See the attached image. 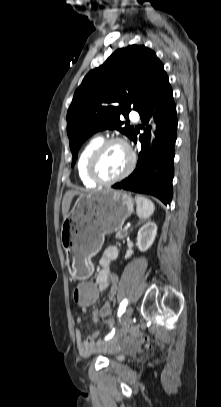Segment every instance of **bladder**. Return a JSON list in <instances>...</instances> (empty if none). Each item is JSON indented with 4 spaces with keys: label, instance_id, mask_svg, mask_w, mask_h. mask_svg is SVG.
<instances>
[{
    "label": "bladder",
    "instance_id": "1",
    "mask_svg": "<svg viewBox=\"0 0 221 407\" xmlns=\"http://www.w3.org/2000/svg\"><path fill=\"white\" fill-rule=\"evenodd\" d=\"M122 358V356L118 355L115 357V359L120 360Z\"/></svg>",
    "mask_w": 221,
    "mask_h": 407
}]
</instances>
